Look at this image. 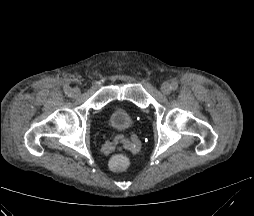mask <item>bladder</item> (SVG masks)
Segmentation results:
<instances>
[{
	"label": "bladder",
	"mask_w": 254,
	"mask_h": 216,
	"mask_svg": "<svg viewBox=\"0 0 254 216\" xmlns=\"http://www.w3.org/2000/svg\"><path fill=\"white\" fill-rule=\"evenodd\" d=\"M136 113L124 107L114 106L109 112V125L117 131H125L132 125Z\"/></svg>",
	"instance_id": "obj_1"
}]
</instances>
